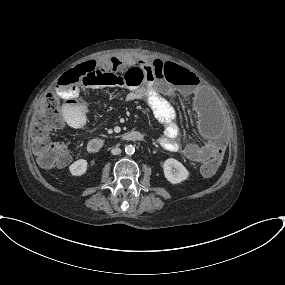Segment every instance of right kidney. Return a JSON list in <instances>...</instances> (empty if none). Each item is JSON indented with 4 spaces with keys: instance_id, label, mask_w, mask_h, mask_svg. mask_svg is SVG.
I'll return each mask as SVG.
<instances>
[{
    "instance_id": "obj_1",
    "label": "right kidney",
    "mask_w": 285,
    "mask_h": 285,
    "mask_svg": "<svg viewBox=\"0 0 285 285\" xmlns=\"http://www.w3.org/2000/svg\"><path fill=\"white\" fill-rule=\"evenodd\" d=\"M88 163L85 159H79L69 166V171L73 176H81L86 173Z\"/></svg>"
}]
</instances>
